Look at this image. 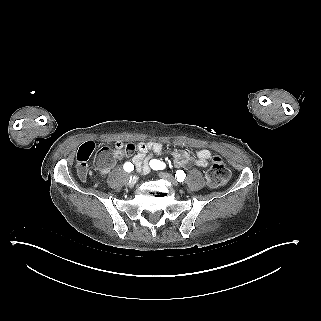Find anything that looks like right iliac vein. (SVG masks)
Listing matches in <instances>:
<instances>
[{
    "instance_id": "1",
    "label": "right iliac vein",
    "mask_w": 321,
    "mask_h": 321,
    "mask_svg": "<svg viewBox=\"0 0 321 321\" xmlns=\"http://www.w3.org/2000/svg\"><path fill=\"white\" fill-rule=\"evenodd\" d=\"M126 184L129 186H132V184H133L132 176H129V175L127 176Z\"/></svg>"
}]
</instances>
